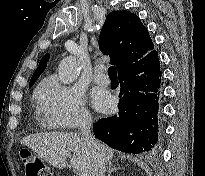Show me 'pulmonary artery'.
I'll use <instances>...</instances> for the list:
<instances>
[{"label": "pulmonary artery", "instance_id": "obj_1", "mask_svg": "<svg viewBox=\"0 0 205 176\" xmlns=\"http://www.w3.org/2000/svg\"><path fill=\"white\" fill-rule=\"evenodd\" d=\"M103 67L99 66L95 68L93 79L96 84L107 86L110 83L109 78L103 74Z\"/></svg>", "mask_w": 205, "mask_h": 176}]
</instances>
